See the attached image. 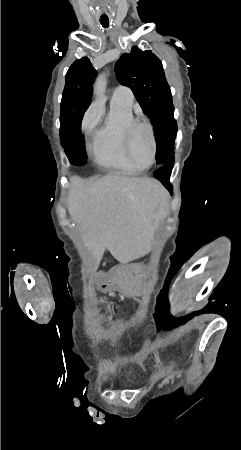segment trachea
<instances>
[{
    "label": "trachea",
    "mask_w": 241,
    "mask_h": 450,
    "mask_svg": "<svg viewBox=\"0 0 241 450\" xmlns=\"http://www.w3.org/2000/svg\"><path fill=\"white\" fill-rule=\"evenodd\" d=\"M101 25H102L104 28H107L108 25H109V22H101Z\"/></svg>",
    "instance_id": "trachea-1"
}]
</instances>
